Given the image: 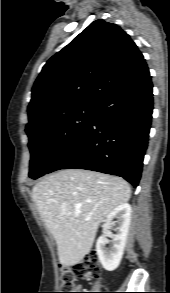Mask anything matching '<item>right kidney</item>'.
I'll use <instances>...</instances> for the list:
<instances>
[{"instance_id":"obj_1","label":"right kidney","mask_w":170,"mask_h":293,"mask_svg":"<svg viewBox=\"0 0 170 293\" xmlns=\"http://www.w3.org/2000/svg\"><path fill=\"white\" fill-rule=\"evenodd\" d=\"M130 218L131 206L128 203H123L115 208L105 219L104 234L96 242V251L102 266L108 271H113L120 265L129 231ZM114 219H116L118 233L113 236V246L109 249L106 247V232L113 225Z\"/></svg>"}]
</instances>
